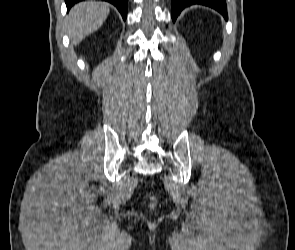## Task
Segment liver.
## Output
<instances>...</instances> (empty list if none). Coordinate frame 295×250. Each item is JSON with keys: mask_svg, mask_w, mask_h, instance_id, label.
Returning a JSON list of instances; mask_svg holds the SVG:
<instances>
[{"mask_svg": "<svg viewBox=\"0 0 295 250\" xmlns=\"http://www.w3.org/2000/svg\"><path fill=\"white\" fill-rule=\"evenodd\" d=\"M109 12V4L104 2L85 1L75 5L68 15V34L71 43L76 45L97 31Z\"/></svg>", "mask_w": 295, "mask_h": 250, "instance_id": "obj_1", "label": "liver"}]
</instances>
